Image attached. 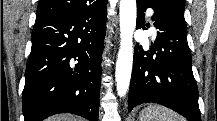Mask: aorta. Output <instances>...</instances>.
Listing matches in <instances>:
<instances>
[{
  "mask_svg": "<svg viewBox=\"0 0 217 121\" xmlns=\"http://www.w3.org/2000/svg\"><path fill=\"white\" fill-rule=\"evenodd\" d=\"M136 0H120V49L116 62V87L120 97L129 89L133 65V33L136 27Z\"/></svg>",
  "mask_w": 217,
  "mask_h": 121,
  "instance_id": "obj_1",
  "label": "aorta"
}]
</instances>
